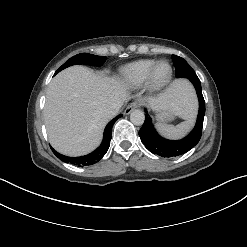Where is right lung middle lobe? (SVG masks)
<instances>
[{
    "label": "right lung middle lobe",
    "instance_id": "dd1d6c3e",
    "mask_svg": "<svg viewBox=\"0 0 247 247\" xmlns=\"http://www.w3.org/2000/svg\"><path fill=\"white\" fill-rule=\"evenodd\" d=\"M106 57L104 56H96L93 54H88V53H81L76 56H73L70 58L68 61H66L57 71H59L72 66L76 64H87V65H94V66H101L103 63L106 61ZM55 73V74H56Z\"/></svg>",
    "mask_w": 247,
    "mask_h": 247
}]
</instances>
